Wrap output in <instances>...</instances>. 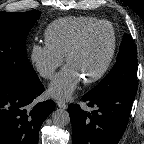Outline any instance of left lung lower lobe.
<instances>
[{"instance_id":"obj_1","label":"left lung lower lobe","mask_w":144,"mask_h":144,"mask_svg":"<svg viewBox=\"0 0 144 144\" xmlns=\"http://www.w3.org/2000/svg\"><path fill=\"white\" fill-rule=\"evenodd\" d=\"M136 91L90 90L83 101L95 108L92 112L77 104L69 105L73 144H117L126 129Z\"/></svg>"}]
</instances>
